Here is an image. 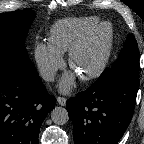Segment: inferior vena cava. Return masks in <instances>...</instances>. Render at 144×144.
<instances>
[{"label": "inferior vena cava", "instance_id": "inferior-vena-cava-1", "mask_svg": "<svg viewBox=\"0 0 144 144\" xmlns=\"http://www.w3.org/2000/svg\"><path fill=\"white\" fill-rule=\"evenodd\" d=\"M56 76L55 70H47L42 73V78L46 81H54Z\"/></svg>", "mask_w": 144, "mask_h": 144}]
</instances>
